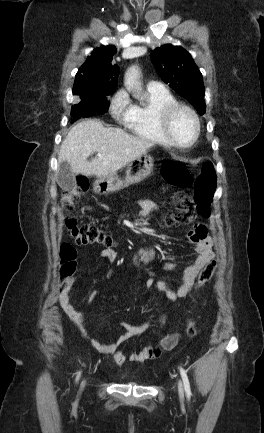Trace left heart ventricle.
I'll list each match as a JSON object with an SVG mask.
<instances>
[{"instance_id":"b2bd125f","label":"left heart ventricle","mask_w":264,"mask_h":433,"mask_svg":"<svg viewBox=\"0 0 264 433\" xmlns=\"http://www.w3.org/2000/svg\"><path fill=\"white\" fill-rule=\"evenodd\" d=\"M171 133L179 143H189L195 134V123L191 115L186 111L177 112L171 122Z\"/></svg>"}]
</instances>
